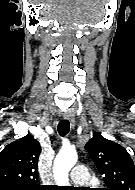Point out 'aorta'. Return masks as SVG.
I'll return each instance as SVG.
<instances>
[{"label":"aorta","instance_id":"762f6f07","mask_svg":"<svg viewBox=\"0 0 135 190\" xmlns=\"http://www.w3.org/2000/svg\"><path fill=\"white\" fill-rule=\"evenodd\" d=\"M78 159L74 149H62L55 158L53 173L59 186H67L69 183L68 173Z\"/></svg>","mask_w":135,"mask_h":190}]
</instances>
